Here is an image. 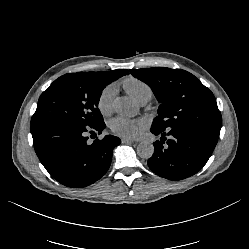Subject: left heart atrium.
I'll use <instances>...</instances> for the list:
<instances>
[{"mask_svg":"<svg viewBox=\"0 0 249 249\" xmlns=\"http://www.w3.org/2000/svg\"><path fill=\"white\" fill-rule=\"evenodd\" d=\"M110 128L113 132L127 137H136L140 132L139 123L124 116L113 118L110 122Z\"/></svg>","mask_w":249,"mask_h":249,"instance_id":"1","label":"left heart atrium"}]
</instances>
